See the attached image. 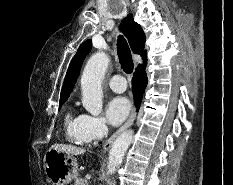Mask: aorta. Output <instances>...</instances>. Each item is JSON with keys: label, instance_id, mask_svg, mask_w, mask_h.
<instances>
[{"label": "aorta", "instance_id": "762f6f07", "mask_svg": "<svg viewBox=\"0 0 233 185\" xmlns=\"http://www.w3.org/2000/svg\"><path fill=\"white\" fill-rule=\"evenodd\" d=\"M109 61L105 53L97 52L88 60L81 77L82 104L93 116H98L102 112L103 92L101 83ZM132 139L133 130H127L114 141L109 152L107 174L112 175L119 168Z\"/></svg>", "mask_w": 233, "mask_h": 185}]
</instances>
